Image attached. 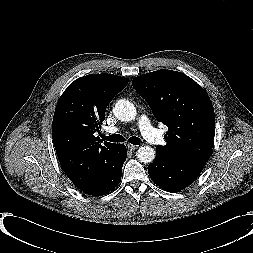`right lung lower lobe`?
Returning <instances> with one entry per match:
<instances>
[{"instance_id":"right-lung-lower-lobe-1","label":"right lung lower lobe","mask_w":253,"mask_h":253,"mask_svg":"<svg viewBox=\"0 0 253 253\" xmlns=\"http://www.w3.org/2000/svg\"><path fill=\"white\" fill-rule=\"evenodd\" d=\"M118 150V157L113 168L96 185L85 190V193L92 196H101L107 194L119 184L127 150L123 144H119Z\"/></svg>"}]
</instances>
